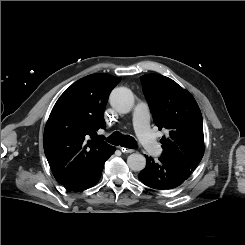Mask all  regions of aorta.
<instances>
[{
    "mask_svg": "<svg viewBox=\"0 0 245 245\" xmlns=\"http://www.w3.org/2000/svg\"><path fill=\"white\" fill-rule=\"evenodd\" d=\"M110 104L119 113H129L134 104V96L130 89L115 88L110 94ZM127 164L133 171H141L146 166V159L142 154L133 153L128 156Z\"/></svg>",
    "mask_w": 245,
    "mask_h": 245,
    "instance_id": "1",
    "label": "aorta"
}]
</instances>
